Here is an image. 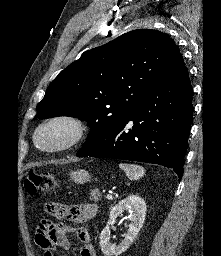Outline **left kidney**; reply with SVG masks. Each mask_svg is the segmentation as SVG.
Returning a JSON list of instances; mask_svg holds the SVG:
<instances>
[{
	"instance_id": "1",
	"label": "left kidney",
	"mask_w": 221,
	"mask_h": 256,
	"mask_svg": "<svg viewBox=\"0 0 221 256\" xmlns=\"http://www.w3.org/2000/svg\"><path fill=\"white\" fill-rule=\"evenodd\" d=\"M125 210L131 212L130 221L128 226L127 234L124 240L119 244L110 243V225L113 221L122 214ZM146 213L145 201L138 195H130L127 198L121 200L117 205H115L109 215V220L106 227L101 231L100 234V247L101 251L105 256H118L125 252L133 240L136 238L140 229L143 226Z\"/></svg>"
}]
</instances>
